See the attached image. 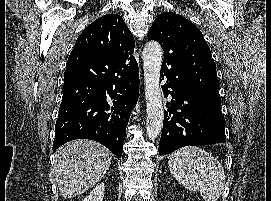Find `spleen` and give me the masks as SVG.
<instances>
[{
  "label": "spleen",
  "instance_id": "obj_1",
  "mask_svg": "<svg viewBox=\"0 0 271 201\" xmlns=\"http://www.w3.org/2000/svg\"><path fill=\"white\" fill-rule=\"evenodd\" d=\"M169 168L175 179L191 192L199 191L204 201H217L225 187L222 164L197 146H185L173 152Z\"/></svg>",
  "mask_w": 271,
  "mask_h": 201
}]
</instances>
